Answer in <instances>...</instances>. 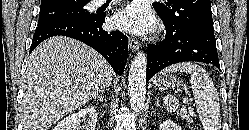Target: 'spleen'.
I'll return each mask as SVG.
<instances>
[{"label":"spleen","mask_w":249,"mask_h":130,"mask_svg":"<svg viewBox=\"0 0 249 130\" xmlns=\"http://www.w3.org/2000/svg\"><path fill=\"white\" fill-rule=\"evenodd\" d=\"M185 72L191 75L190 84L195 99L196 109L204 130H220L221 115L219 95L209 74L201 66L192 62L173 64L162 71V74L170 72ZM163 104L168 112H176L179 101L173 95H167Z\"/></svg>","instance_id":"spleen-1"}]
</instances>
